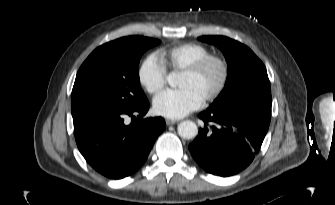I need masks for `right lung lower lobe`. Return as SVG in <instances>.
I'll list each match as a JSON object with an SVG mask.
<instances>
[{"mask_svg":"<svg viewBox=\"0 0 335 205\" xmlns=\"http://www.w3.org/2000/svg\"><path fill=\"white\" fill-rule=\"evenodd\" d=\"M148 109L146 100L133 109L73 116L76 143L85 160L111 179L133 174L145 162L156 138L165 129L162 117L142 118ZM127 116L131 117L130 124L124 120Z\"/></svg>","mask_w":335,"mask_h":205,"instance_id":"right-lung-lower-lobe-1","label":"right lung lower lobe"}]
</instances>
